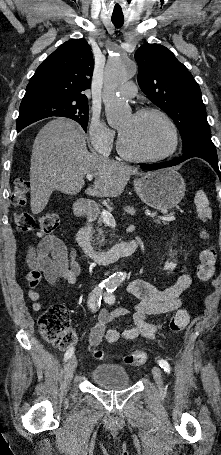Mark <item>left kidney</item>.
<instances>
[{
    "mask_svg": "<svg viewBox=\"0 0 221 455\" xmlns=\"http://www.w3.org/2000/svg\"><path fill=\"white\" fill-rule=\"evenodd\" d=\"M171 255H173V254H171ZM175 267H176V263L168 260L165 263L164 269L165 270H173Z\"/></svg>",
    "mask_w": 221,
    "mask_h": 455,
    "instance_id": "obj_1",
    "label": "left kidney"
}]
</instances>
